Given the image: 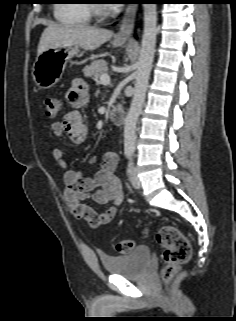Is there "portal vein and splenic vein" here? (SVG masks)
Here are the masks:
<instances>
[{
	"label": "portal vein and splenic vein",
	"mask_w": 236,
	"mask_h": 321,
	"mask_svg": "<svg viewBox=\"0 0 236 321\" xmlns=\"http://www.w3.org/2000/svg\"><path fill=\"white\" fill-rule=\"evenodd\" d=\"M100 81L103 84H108V83H110V76L107 73L102 74L101 77H100Z\"/></svg>",
	"instance_id": "portal-vein-and-splenic-vein-1"
}]
</instances>
